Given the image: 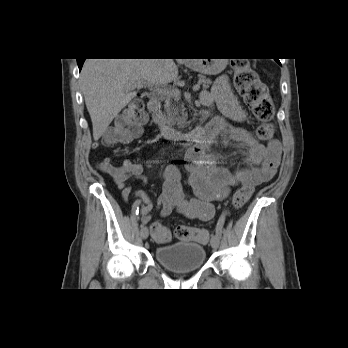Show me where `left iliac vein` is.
Instances as JSON below:
<instances>
[{"label":"left iliac vein","mask_w":348,"mask_h":348,"mask_svg":"<svg viewBox=\"0 0 348 348\" xmlns=\"http://www.w3.org/2000/svg\"><path fill=\"white\" fill-rule=\"evenodd\" d=\"M219 244H220V237L218 236V235H213L212 237H211V246H212V248L213 249H218V247H219Z\"/></svg>","instance_id":"left-iliac-vein-1"}]
</instances>
